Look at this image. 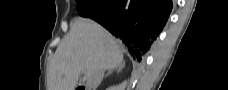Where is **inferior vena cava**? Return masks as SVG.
Instances as JSON below:
<instances>
[{"label": "inferior vena cava", "mask_w": 228, "mask_h": 90, "mask_svg": "<svg viewBox=\"0 0 228 90\" xmlns=\"http://www.w3.org/2000/svg\"><path fill=\"white\" fill-rule=\"evenodd\" d=\"M105 68L102 66L97 67L87 78V90H96L104 77Z\"/></svg>", "instance_id": "602c4592"}]
</instances>
